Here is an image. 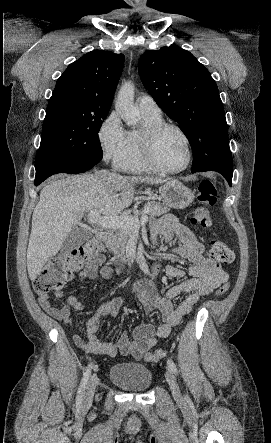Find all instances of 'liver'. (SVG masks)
Listing matches in <instances>:
<instances>
[{"instance_id":"liver-1","label":"liver","mask_w":271,"mask_h":443,"mask_svg":"<svg viewBox=\"0 0 271 443\" xmlns=\"http://www.w3.org/2000/svg\"><path fill=\"white\" fill-rule=\"evenodd\" d=\"M163 184L159 178L113 176L108 170L81 176H54L40 192L33 212L27 247V269L30 279H36L46 261L56 255L69 231L90 210H98L107 218L122 214L134 200V186Z\"/></svg>"}]
</instances>
